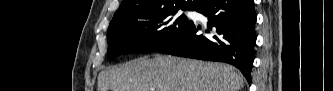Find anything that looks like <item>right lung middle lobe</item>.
Wrapping results in <instances>:
<instances>
[{"instance_id":"dd1d6c3e","label":"right lung middle lobe","mask_w":333,"mask_h":91,"mask_svg":"<svg viewBox=\"0 0 333 91\" xmlns=\"http://www.w3.org/2000/svg\"><path fill=\"white\" fill-rule=\"evenodd\" d=\"M178 10L164 11L137 19L110 23L107 31L108 58L129 53H148L162 47L189 22Z\"/></svg>"}]
</instances>
